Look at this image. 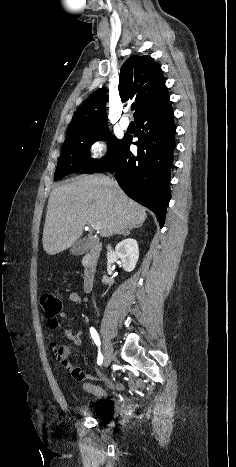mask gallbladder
Returning <instances> with one entry per match:
<instances>
[{"mask_svg": "<svg viewBox=\"0 0 236 467\" xmlns=\"http://www.w3.org/2000/svg\"><path fill=\"white\" fill-rule=\"evenodd\" d=\"M91 248V241L89 239H80L73 244L70 253L73 255H82Z\"/></svg>", "mask_w": 236, "mask_h": 467, "instance_id": "gallbladder-1", "label": "gallbladder"}]
</instances>
